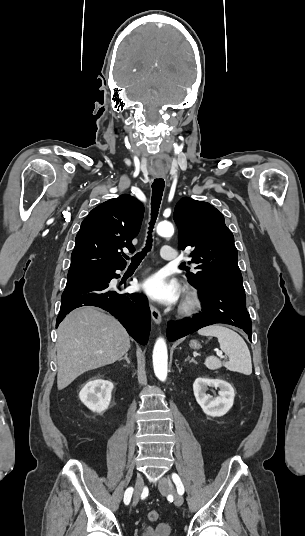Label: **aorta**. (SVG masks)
Listing matches in <instances>:
<instances>
[{
    "label": "aorta",
    "mask_w": 305,
    "mask_h": 536,
    "mask_svg": "<svg viewBox=\"0 0 305 536\" xmlns=\"http://www.w3.org/2000/svg\"><path fill=\"white\" fill-rule=\"evenodd\" d=\"M157 234L162 237H171L174 233L172 223L163 221L157 225ZM153 368L156 377L160 381H165L168 373V352L164 338H158L153 349Z\"/></svg>",
    "instance_id": "aorta-1"
}]
</instances>
